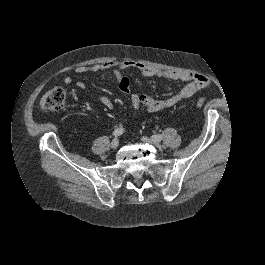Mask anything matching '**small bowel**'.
Wrapping results in <instances>:
<instances>
[{"label": "small bowel", "mask_w": 265, "mask_h": 265, "mask_svg": "<svg viewBox=\"0 0 265 265\" xmlns=\"http://www.w3.org/2000/svg\"><path fill=\"white\" fill-rule=\"evenodd\" d=\"M130 68L137 69L144 77H161L181 80L187 82V84L179 92L164 99H155L142 94L131 93L130 80L122 74L124 70ZM109 70L113 72L120 90L130 97L132 107L135 110H139L143 107L150 113H157L170 109L180 102L191 98L199 90L208 85V79L203 75L187 71L161 70L137 61H109L91 66H81L76 68L75 73L80 75L86 72H104ZM64 83L66 85H71L73 83V78L71 76H66L64 78ZM76 86L81 91L86 90V86L82 81H77ZM96 98L108 110L112 111L114 109L112 100L106 95H96Z\"/></svg>", "instance_id": "c3829d8e"}]
</instances>
